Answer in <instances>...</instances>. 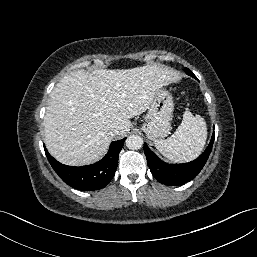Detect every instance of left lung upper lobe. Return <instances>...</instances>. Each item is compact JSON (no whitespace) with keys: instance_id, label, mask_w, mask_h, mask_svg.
Listing matches in <instances>:
<instances>
[{"instance_id":"obj_1","label":"left lung upper lobe","mask_w":257,"mask_h":257,"mask_svg":"<svg viewBox=\"0 0 257 257\" xmlns=\"http://www.w3.org/2000/svg\"><path fill=\"white\" fill-rule=\"evenodd\" d=\"M185 72L192 77L195 76L188 68H185Z\"/></svg>"}]
</instances>
